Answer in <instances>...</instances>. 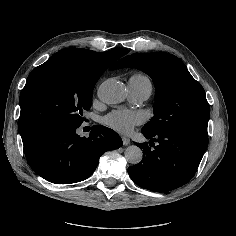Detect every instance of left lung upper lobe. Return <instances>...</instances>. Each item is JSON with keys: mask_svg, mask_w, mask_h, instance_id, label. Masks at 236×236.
<instances>
[{"mask_svg": "<svg viewBox=\"0 0 236 236\" xmlns=\"http://www.w3.org/2000/svg\"><path fill=\"white\" fill-rule=\"evenodd\" d=\"M123 67L145 72L156 88L154 117L142 132L157 134L170 129L207 136L210 111L205 91L179 58L164 52L134 53L110 70Z\"/></svg>", "mask_w": 236, "mask_h": 236, "instance_id": "left-lung-upper-lobe-1", "label": "left lung upper lobe"}]
</instances>
